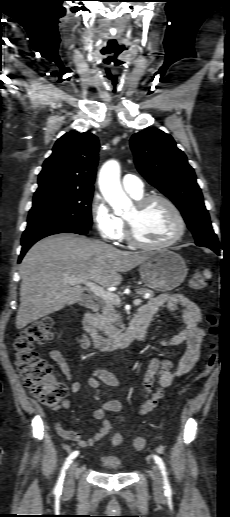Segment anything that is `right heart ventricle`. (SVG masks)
Returning a JSON list of instances; mask_svg holds the SVG:
<instances>
[{"label":"right heart ventricle","mask_w":230,"mask_h":517,"mask_svg":"<svg viewBox=\"0 0 230 517\" xmlns=\"http://www.w3.org/2000/svg\"><path fill=\"white\" fill-rule=\"evenodd\" d=\"M142 196H143V194H142V195H140V196H132V197H133V198H135V199H139V198H141ZM124 237H125V235H124V229H123V232H122V234H121V236H120V238H119V239H123Z\"/></svg>","instance_id":"obj_1"}]
</instances>
